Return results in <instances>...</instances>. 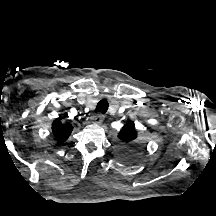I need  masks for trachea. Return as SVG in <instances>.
Listing matches in <instances>:
<instances>
[{"instance_id": "3493384b", "label": "trachea", "mask_w": 216, "mask_h": 216, "mask_svg": "<svg viewBox=\"0 0 216 216\" xmlns=\"http://www.w3.org/2000/svg\"><path fill=\"white\" fill-rule=\"evenodd\" d=\"M108 107H109V103H108L107 99H105V98L101 99L98 102V104H97L94 112L95 113H102V114H104V113L107 112Z\"/></svg>"}]
</instances>
